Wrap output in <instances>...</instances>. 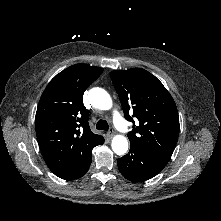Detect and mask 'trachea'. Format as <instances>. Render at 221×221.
Wrapping results in <instances>:
<instances>
[{
    "label": "trachea",
    "mask_w": 221,
    "mask_h": 221,
    "mask_svg": "<svg viewBox=\"0 0 221 221\" xmlns=\"http://www.w3.org/2000/svg\"><path fill=\"white\" fill-rule=\"evenodd\" d=\"M96 128H97L98 130L107 131V130L109 129V125H108L107 121L101 119V120H99V121L97 122Z\"/></svg>",
    "instance_id": "3493384b"
}]
</instances>
